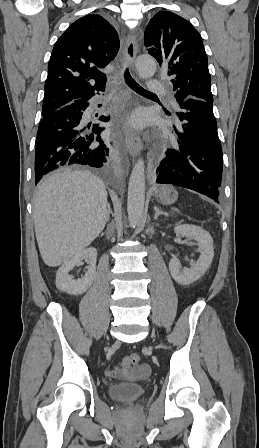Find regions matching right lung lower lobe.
<instances>
[{
    "label": "right lung lower lobe",
    "mask_w": 259,
    "mask_h": 448,
    "mask_svg": "<svg viewBox=\"0 0 259 448\" xmlns=\"http://www.w3.org/2000/svg\"><path fill=\"white\" fill-rule=\"evenodd\" d=\"M90 99L42 115L35 148V183L61 166L102 167L113 155L112 139L100 123L88 124ZM101 115L98 121L108 122Z\"/></svg>",
    "instance_id": "98d812e1"
}]
</instances>
